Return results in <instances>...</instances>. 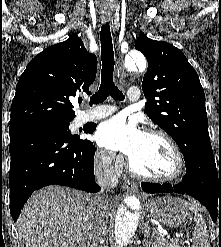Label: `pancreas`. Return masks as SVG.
Listing matches in <instances>:
<instances>
[{
  "label": "pancreas",
  "mask_w": 221,
  "mask_h": 247,
  "mask_svg": "<svg viewBox=\"0 0 221 247\" xmlns=\"http://www.w3.org/2000/svg\"><path fill=\"white\" fill-rule=\"evenodd\" d=\"M154 237V247H180L178 245V239L168 240L164 238L162 234L159 232H155L153 234Z\"/></svg>",
  "instance_id": "1"
}]
</instances>
